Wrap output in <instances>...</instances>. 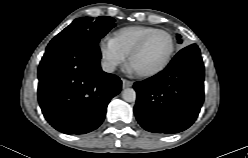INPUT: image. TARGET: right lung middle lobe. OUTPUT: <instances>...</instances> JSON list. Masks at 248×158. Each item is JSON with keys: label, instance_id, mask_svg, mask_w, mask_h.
Wrapping results in <instances>:
<instances>
[{"label": "right lung middle lobe", "instance_id": "1", "mask_svg": "<svg viewBox=\"0 0 248 158\" xmlns=\"http://www.w3.org/2000/svg\"><path fill=\"white\" fill-rule=\"evenodd\" d=\"M114 22L112 17L107 16H100L95 21L89 17L77 18L53 40H89L97 44L111 28L115 27Z\"/></svg>", "mask_w": 248, "mask_h": 158}]
</instances>
